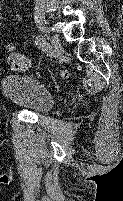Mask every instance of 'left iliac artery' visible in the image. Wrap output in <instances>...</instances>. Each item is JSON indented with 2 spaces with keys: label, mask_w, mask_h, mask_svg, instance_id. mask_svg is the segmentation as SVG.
<instances>
[{
  "label": "left iliac artery",
  "mask_w": 123,
  "mask_h": 201,
  "mask_svg": "<svg viewBox=\"0 0 123 201\" xmlns=\"http://www.w3.org/2000/svg\"><path fill=\"white\" fill-rule=\"evenodd\" d=\"M36 45L41 48L42 50H47L49 45L47 43V41L45 40L44 37L42 36H38L36 37V41H35Z\"/></svg>",
  "instance_id": "left-iliac-artery-1"
}]
</instances>
